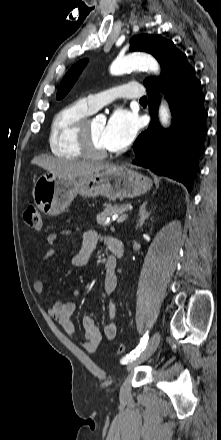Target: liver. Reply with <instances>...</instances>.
<instances>
[{"label":"liver","instance_id":"liver-1","mask_svg":"<svg viewBox=\"0 0 221 440\" xmlns=\"http://www.w3.org/2000/svg\"><path fill=\"white\" fill-rule=\"evenodd\" d=\"M31 163L63 178L89 176L113 166L111 163L75 162L45 155L34 157Z\"/></svg>","mask_w":221,"mask_h":440}]
</instances>
